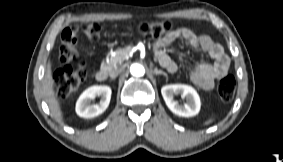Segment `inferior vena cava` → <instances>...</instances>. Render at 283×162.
Returning a JSON list of instances; mask_svg holds the SVG:
<instances>
[{
	"mask_svg": "<svg viewBox=\"0 0 283 162\" xmlns=\"http://www.w3.org/2000/svg\"><path fill=\"white\" fill-rule=\"evenodd\" d=\"M119 74H120V71H119V70H114L113 72H111L110 76H111L112 78H115V77H117Z\"/></svg>",
	"mask_w": 283,
	"mask_h": 162,
	"instance_id": "inferior-vena-cava-1",
	"label": "inferior vena cava"
}]
</instances>
